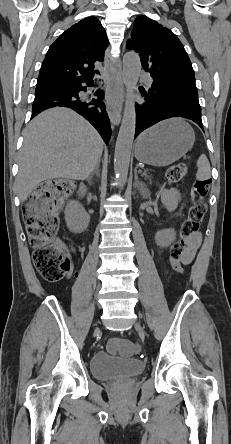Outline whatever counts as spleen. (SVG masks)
<instances>
[{
  "label": "spleen",
  "instance_id": "3e777b00",
  "mask_svg": "<svg viewBox=\"0 0 231 444\" xmlns=\"http://www.w3.org/2000/svg\"><path fill=\"white\" fill-rule=\"evenodd\" d=\"M197 174L196 178L200 181L207 180L211 176V168L207 157L202 154L197 161Z\"/></svg>",
  "mask_w": 231,
  "mask_h": 444
}]
</instances>
